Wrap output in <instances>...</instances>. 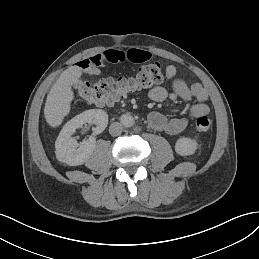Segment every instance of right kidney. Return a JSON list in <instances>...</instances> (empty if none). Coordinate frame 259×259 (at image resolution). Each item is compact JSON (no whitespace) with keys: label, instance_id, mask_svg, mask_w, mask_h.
I'll return each mask as SVG.
<instances>
[{"label":"right kidney","instance_id":"right-kidney-1","mask_svg":"<svg viewBox=\"0 0 259 259\" xmlns=\"http://www.w3.org/2000/svg\"><path fill=\"white\" fill-rule=\"evenodd\" d=\"M85 123H93V135L102 133L108 124V115L104 110L91 109L75 116L62 128L55 142L56 157L60 162L70 166L82 165L93 153L96 139L91 136L88 140L78 143L71 135Z\"/></svg>","mask_w":259,"mask_h":259}]
</instances>
